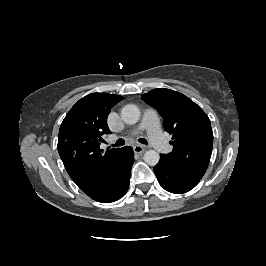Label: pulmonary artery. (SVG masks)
Segmentation results:
<instances>
[{"mask_svg":"<svg viewBox=\"0 0 266 266\" xmlns=\"http://www.w3.org/2000/svg\"><path fill=\"white\" fill-rule=\"evenodd\" d=\"M139 130H146L148 138L152 146L158 151H164L168 143L162 133L161 123L157 112L151 108L145 110L142 121L138 129L134 130L132 134H137ZM112 137V139H114Z\"/></svg>","mask_w":266,"mask_h":266,"instance_id":"pulmonary-artery-1","label":"pulmonary artery"}]
</instances>
